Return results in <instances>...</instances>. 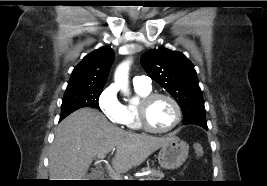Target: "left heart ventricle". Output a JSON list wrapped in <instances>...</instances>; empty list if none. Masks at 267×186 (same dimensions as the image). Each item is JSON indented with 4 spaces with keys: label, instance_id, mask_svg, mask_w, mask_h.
<instances>
[{
    "label": "left heart ventricle",
    "instance_id": "left-heart-ventricle-1",
    "mask_svg": "<svg viewBox=\"0 0 267 186\" xmlns=\"http://www.w3.org/2000/svg\"><path fill=\"white\" fill-rule=\"evenodd\" d=\"M148 120L152 127L164 129L175 120L173 105L165 98H158L152 102L148 112Z\"/></svg>",
    "mask_w": 267,
    "mask_h": 186
}]
</instances>
